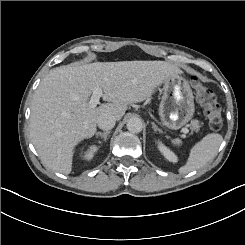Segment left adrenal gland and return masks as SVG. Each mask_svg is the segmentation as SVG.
<instances>
[{
	"label": "left adrenal gland",
	"instance_id": "left-adrenal-gland-1",
	"mask_svg": "<svg viewBox=\"0 0 245 245\" xmlns=\"http://www.w3.org/2000/svg\"><path fill=\"white\" fill-rule=\"evenodd\" d=\"M151 125L153 126L154 130L158 129L161 133H163V130L160 127H158L154 122H151Z\"/></svg>",
	"mask_w": 245,
	"mask_h": 245
}]
</instances>
